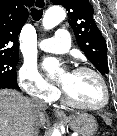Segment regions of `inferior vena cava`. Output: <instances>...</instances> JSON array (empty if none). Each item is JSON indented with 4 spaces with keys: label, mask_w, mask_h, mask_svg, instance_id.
Returning a JSON list of instances; mask_svg holds the SVG:
<instances>
[{
    "label": "inferior vena cava",
    "mask_w": 117,
    "mask_h": 136,
    "mask_svg": "<svg viewBox=\"0 0 117 136\" xmlns=\"http://www.w3.org/2000/svg\"><path fill=\"white\" fill-rule=\"evenodd\" d=\"M32 103H33V105H34V107H35V109H33L32 110V124L30 125V130H32L30 133H31V135L30 136H35L34 135V131L33 130H35V122H36V114H38L39 112H41V111H43V110H46L47 109V105H46V103L43 101V100H40V99H36V98H34V99H32Z\"/></svg>",
    "instance_id": "1"
}]
</instances>
